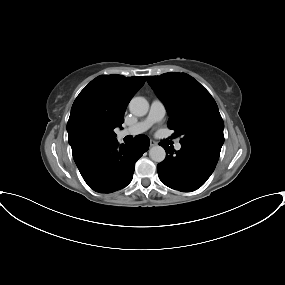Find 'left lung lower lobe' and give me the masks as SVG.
Listing matches in <instances>:
<instances>
[{"instance_id": "left-lung-lower-lobe-1", "label": "left lung lower lobe", "mask_w": 285, "mask_h": 285, "mask_svg": "<svg viewBox=\"0 0 285 285\" xmlns=\"http://www.w3.org/2000/svg\"><path fill=\"white\" fill-rule=\"evenodd\" d=\"M166 158L157 165L160 180L168 187L191 192L201 187L213 173L220 151L181 144L179 151L166 144Z\"/></svg>"}]
</instances>
